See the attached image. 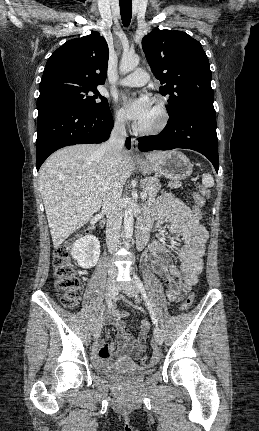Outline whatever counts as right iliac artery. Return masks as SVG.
<instances>
[{
	"label": "right iliac artery",
	"mask_w": 259,
	"mask_h": 431,
	"mask_svg": "<svg viewBox=\"0 0 259 431\" xmlns=\"http://www.w3.org/2000/svg\"><path fill=\"white\" fill-rule=\"evenodd\" d=\"M104 310H105V305H104V306H103V308L101 309L100 317L103 315Z\"/></svg>",
	"instance_id": "82829eb1"
}]
</instances>
